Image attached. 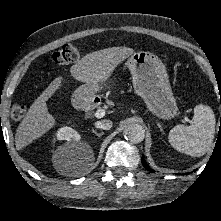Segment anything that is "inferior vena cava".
Segmentation results:
<instances>
[{
  "mask_svg": "<svg viewBox=\"0 0 221 221\" xmlns=\"http://www.w3.org/2000/svg\"><path fill=\"white\" fill-rule=\"evenodd\" d=\"M112 125L113 123L111 120H102L95 123V127L102 130H109L112 128Z\"/></svg>",
  "mask_w": 221,
  "mask_h": 221,
  "instance_id": "inferior-vena-cava-1",
  "label": "inferior vena cava"
}]
</instances>
